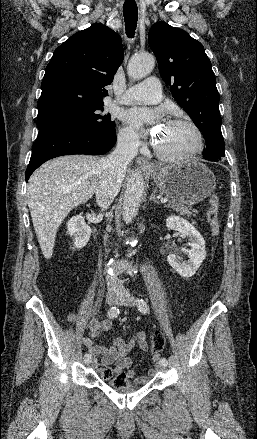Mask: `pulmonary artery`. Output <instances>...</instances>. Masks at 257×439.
Wrapping results in <instances>:
<instances>
[{
	"instance_id": "e3ab8cb5",
	"label": "pulmonary artery",
	"mask_w": 257,
	"mask_h": 439,
	"mask_svg": "<svg viewBox=\"0 0 257 439\" xmlns=\"http://www.w3.org/2000/svg\"><path fill=\"white\" fill-rule=\"evenodd\" d=\"M161 99L159 80L150 77L142 83L127 89L122 95L116 97L114 102L120 104L156 103Z\"/></svg>"
}]
</instances>
